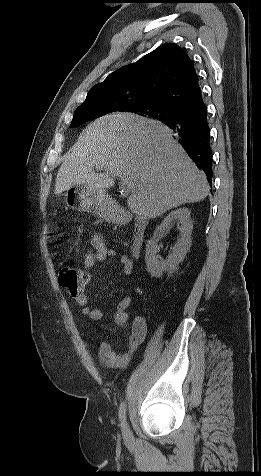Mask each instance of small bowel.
I'll return each mask as SVG.
<instances>
[{
    "instance_id": "1",
    "label": "small bowel",
    "mask_w": 261,
    "mask_h": 476,
    "mask_svg": "<svg viewBox=\"0 0 261 476\" xmlns=\"http://www.w3.org/2000/svg\"><path fill=\"white\" fill-rule=\"evenodd\" d=\"M90 245L92 249L88 250L84 255V270L80 271L85 281L77 292L70 294L80 306L83 315L88 316L92 320H99L102 317V311L98 307L88 305V295L85 291V286L89 280L87 270L94 267L97 263L105 261L107 258H117L121 263L123 274L128 276L133 271V262L128 256L119 255L115 250L108 248L104 243L103 237L97 233L92 235ZM130 304L131 298L129 296L123 297L117 305V311L114 316L116 325L124 331L127 347L123 352L118 353L108 343L100 342L97 346V354L99 363L103 367L110 369L126 367L136 348L143 342L146 336V321L142 317L131 319L128 311Z\"/></svg>"
}]
</instances>
